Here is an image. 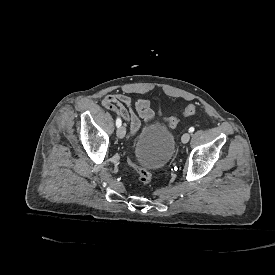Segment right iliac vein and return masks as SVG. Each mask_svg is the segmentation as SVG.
Returning a JSON list of instances; mask_svg holds the SVG:
<instances>
[{"mask_svg": "<svg viewBox=\"0 0 275 275\" xmlns=\"http://www.w3.org/2000/svg\"><path fill=\"white\" fill-rule=\"evenodd\" d=\"M125 134H126L125 127L124 126L118 127V129H117L118 138L123 139L125 137Z\"/></svg>", "mask_w": 275, "mask_h": 275, "instance_id": "obj_1", "label": "right iliac vein"}]
</instances>
